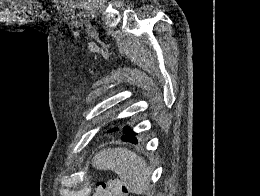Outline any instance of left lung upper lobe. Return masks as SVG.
<instances>
[{
	"instance_id": "1",
	"label": "left lung upper lobe",
	"mask_w": 260,
	"mask_h": 196,
	"mask_svg": "<svg viewBox=\"0 0 260 196\" xmlns=\"http://www.w3.org/2000/svg\"><path fill=\"white\" fill-rule=\"evenodd\" d=\"M117 130H118V128H114V129L110 130L109 132H114V131H117Z\"/></svg>"
}]
</instances>
